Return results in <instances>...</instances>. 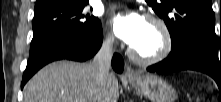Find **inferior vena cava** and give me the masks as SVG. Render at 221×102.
Masks as SVG:
<instances>
[{"label": "inferior vena cava", "instance_id": "1", "mask_svg": "<svg viewBox=\"0 0 221 102\" xmlns=\"http://www.w3.org/2000/svg\"><path fill=\"white\" fill-rule=\"evenodd\" d=\"M113 36H109L103 41L100 50L95 55L92 65L98 69L100 81H104L111 69V59L113 56Z\"/></svg>", "mask_w": 221, "mask_h": 102}]
</instances>
